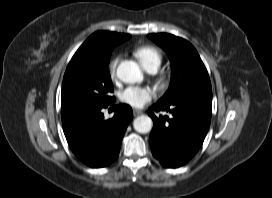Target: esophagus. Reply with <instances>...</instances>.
I'll use <instances>...</instances> for the list:
<instances>
[{
  "label": "esophagus",
  "mask_w": 272,
  "mask_h": 198,
  "mask_svg": "<svg viewBox=\"0 0 272 198\" xmlns=\"http://www.w3.org/2000/svg\"><path fill=\"white\" fill-rule=\"evenodd\" d=\"M142 113H143V112H142L141 110L133 109V115H134L135 117L141 115Z\"/></svg>",
  "instance_id": "esophagus-1"
}]
</instances>
